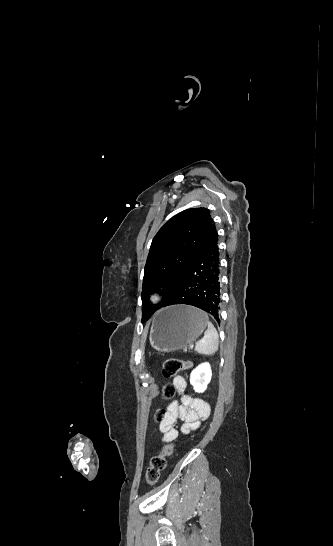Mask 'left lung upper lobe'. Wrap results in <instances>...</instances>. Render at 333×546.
<instances>
[{
  "instance_id": "left-lung-upper-lobe-1",
  "label": "left lung upper lobe",
  "mask_w": 333,
  "mask_h": 546,
  "mask_svg": "<svg viewBox=\"0 0 333 546\" xmlns=\"http://www.w3.org/2000/svg\"><path fill=\"white\" fill-rule=\"evenodd\" d=\"M213 223L208 209H187L172 217L155 235L144 268L143 322L168 301L177 280L196 257ZM203 265L200 263L197 268L199 273ZM158 290L163 293V300L159 305L151 307L149 295Z\"/></svg>"
}]
</instances>
